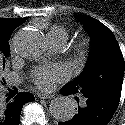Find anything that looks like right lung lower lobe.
<instances>
[{"label": "right lung lower lobe", "instance_id": "obj_1", "mask_svg": "<svg viewBox=\"0 0 125 125\" xmlns=\"http://www.w3.org/2000/svg\"><path fill=\"white\" fill-rule=\"evenodd\" d=\"M34 100L31 93L9 90L7 99H0V125H19L23 105Z\"/></svg>", "mask_w": 125, "mask_h": 125}]
</instances>
